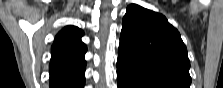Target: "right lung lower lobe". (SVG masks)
Masks as SVG:
<instances>
[{
	"label": "right lung lower lobe",
	"mask_w": 223,
	"mask_h": 88,
	"mask_svg": "<svg viewBox=\"0 0 223 88\" xmlns=\"http://www.w3.org/2000/svg\"><path fill=\"white\" fill-rule=\"evenodd\" d=\"M85 79L82 82L76 83L71 86V88H83ZM53 80H51L50 85L52 86Z\"/></svg>",
	"instance_id": "98d812e1"
}]
</instances>
